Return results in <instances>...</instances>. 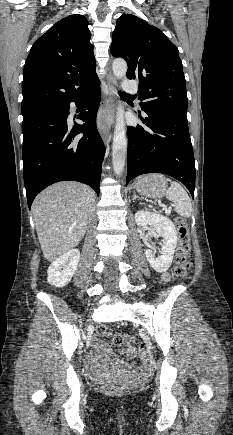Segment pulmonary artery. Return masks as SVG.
<instances>
[{
  "instance_id": "obj_1",
  "label": "pulmonary artery",
  "mask_w": 233,
  "mask_h": 435,
  "mask_svg": "<svg viewBox=\"0 0 233 435\" xmlns=\"http://www.w3.org/2000/svg\"><path fill=\"white\" fill-rule=\"evenodd\" d=\"M123 90L124 93L130 96H136L138 94V87L133 85V80L128 77L123 79Z\"/></svg>"
}]
</instances>
